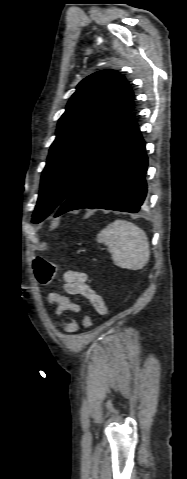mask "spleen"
Listing matches in <instances>:
<instances>
[{
    "instance_id": "3e777b00",
    "label": "spleen",
    "mask_w": 187,
    "mask_h": 479,
    "mask_svg": "<svg viewBox=\"0 0 187 479\" xmlns=\"http://www.w3.org/2000/svg\"><path fill=\"white\" fill-rule=\"evenodd\" d=\"M97 242L108 246L114 264L120 268L140 270L149 261L147 235L132 222L115 220L100 231Z\"/></svg>"
}]
</instances>
